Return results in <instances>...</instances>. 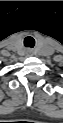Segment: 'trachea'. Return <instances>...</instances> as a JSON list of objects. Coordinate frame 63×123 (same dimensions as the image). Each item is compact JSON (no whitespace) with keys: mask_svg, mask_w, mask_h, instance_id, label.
I'll list each match as a JSON object with an SVG mask.
<instances>
[{"mask_svg":"<svg viewBox=\"0 0 63 123\" xmlns=\"http://www.w3.org/2000/svg\"><path fill=\"white\" fill-rule=\"evenodd\" d=\"M35 45V40L32 36H27L24 38V46L28 48H33Z\"/></svg>","mask_w":63,"mask_h":123,"instance_id":"3493384b","label":"trachea"}]
</instances>
